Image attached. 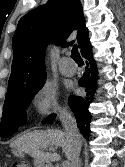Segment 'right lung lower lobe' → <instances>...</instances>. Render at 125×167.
Here are the masks:
<instances>
[{"instance_id":"right-lung-lower-lobe-1","label":"right lung lower lobe","mask_w":125,"mask_h":167,"mask_svg":"<svg viewBox=\"0 0 125 167\" xmlns=\"http://www.w3.org/2000/svg\"><path fill=\"white\" fill-rule=\"evenodd\" d=\"M81 54L88 61H86V72L79 80V85L86 88L87 96H71L69 103L72 111L74 112L81 134L84 136V138L88 139V137L90 136L89 125L91 122V114L88 110V107L93 100L97 80V69L95 61L93 60L92 47L89 40L83 45ZM55 117L56 115L52 114L48 118H46L43 123H50L55 119Z\"/></svg>"}]
</instances>
